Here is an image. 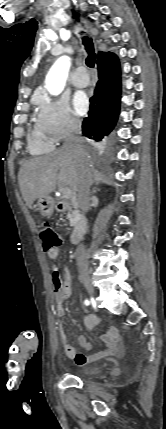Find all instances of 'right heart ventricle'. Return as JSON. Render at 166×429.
Returning <instances> with one entry per match:
<instances>
[{"instance_id": "e07e8e85", "label": "right heart ventricle", "mask_w": 166, "mask_h": 429, "mask_svg": "<svg viewBox=\"0 0 166 429\" xmlns=\"http://www.w3.org/2000/svg\"><path fill=\"white\" fill-rule=\"evenodd\" d=\"M29 150L32 154H43L53 150L54 142L35 125L28 137Z\"/></svg>"}]
</instances>
